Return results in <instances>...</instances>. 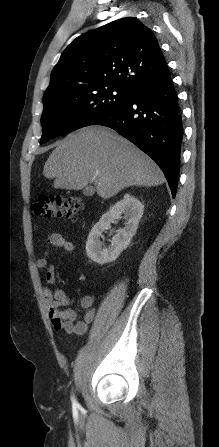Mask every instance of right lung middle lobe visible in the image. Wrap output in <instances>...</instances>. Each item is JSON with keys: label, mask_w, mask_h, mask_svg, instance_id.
Returning a JSON list of instances; mask_svg holds the SVG:
<instances>
[{"label": "right lung middle lobe", "mask_w": 219, "mask_h": 447, "mask_svg": "<svg viewBox=\"0 0 219 447\" xmlns=\"http://www.w3.org/2000/svg\"><path fill=\"white\" fill-rule=\"evenodd\" d=\"M132 92L116 85L95 87L86 93L57 92L43 97L41 143L91 125L95 120L130 99Z\"/></svg>", "instance_id": "1"}]
</instances>
